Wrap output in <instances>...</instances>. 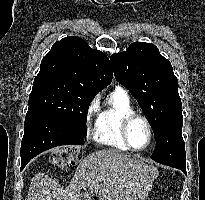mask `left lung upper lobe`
<instances>
[{"mask_svg": "<svg viewBox=\"0 0 205 200\" xmlns=\"http://www.w3.org/2000/svg\"><path fill=\"white\" fill-rule=\"evenodd\" d=\"M110 60L116 80L138 101L157 140L166 121L182 112L178 80L171 63L155 45L143 42L131 44Z\"/></svg>", "mask_w": 205, "mask_h": 200, "instance_id": "left-lung-upper-lobe-1", "label": "left lung upper lobe"}]
</instances>
